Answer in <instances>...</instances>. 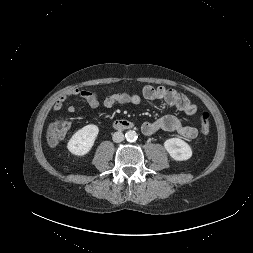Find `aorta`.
<instances>
[{"label": "aorta", "instance_id": "obj_1", "mask_svg": "<svg viewBox=\"0 0 253 253\" xmlns=\"http://www.w3.org/2000/svg\"><path fill=\"white\" fill-rule=\"evenodd\" d=\"M125 138L129 142H133L138 138V135L134 130H129L126 132Z\"/></svg>", "mask_w": 253, "mask_h": 253}]
</instances>
